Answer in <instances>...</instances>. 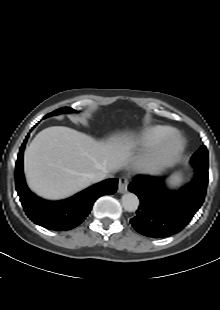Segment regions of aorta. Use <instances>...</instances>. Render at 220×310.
<instances>
[{
  "instance_id": "obj_1",
  "label": "aorta",
  "mask_w": 220,
  "mask_h": 310,
  "mask_svg": "<svg viewBox=\"0 0 220 310\" xmlns=\"http://www.w3.org/2000/svg\"><path fill=\"white\" fill-rule=\"evenodd\" d=\"M122 206L128 212H134L138 209L139 199L133 193H125L122 196Z\"/></svg>"
}]
</instances>
